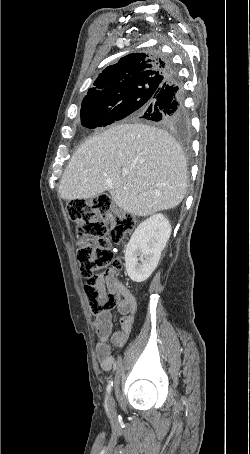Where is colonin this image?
<instances>
[{"label": "colon", "mask_w": 250, "mask_h": 454, "mask_svg": "<svg viewBox=\"0 0 250 454\" xmlns=\"http://www.w3.org/2000/svg\"><path fill=\"white\" fill-rule=\"evenodd\" d=\"M67 211L77 225V259L90 309L95 314L112 310L118 303V273L122 261L115 257L111 243L122 242L134 229V218L113 205L109 195L69 202Z\"/></svg>", "instance_id": "5ec220e1"}]
</instances>
